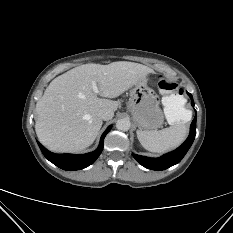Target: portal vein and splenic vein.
<instances>
[{"label":"portal vein and splenic vein","instance_id":"portal-vein-and-splenic-vein-1","mask_svg":"<svg viewBox=\"0 0 233 233\" xmlns=\"http://www.w3.org/2000/svg\"><path fill=\"white\" fill-rule=\"evenodd\" d=\"M92 89H93V92L96 94L99 92L97 84L95 82H92Z\"/></svg>","mask_w":233,"mask_h":233}]
</instances>
